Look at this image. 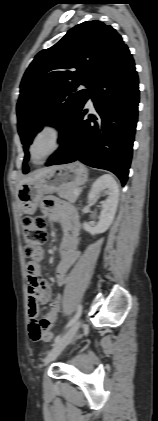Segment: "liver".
I'll return each mask as SVG.
<instances>
[{
	"label": "liver",
	"instance_id": "1",
	"mask_svg": "<svg viewBox=\"0 0 158 421\" xmlns=\"http://www.w3.org/2000/svg\"><path fill=\"white\" fill-rule=\"evenodd\" d=\"M51 168H52V167H51ZM51 168H42V169H39V170L34 171V172H33V173H31L28 177H26V178L22 179V180L19 182L17 189H19V187H20L22 184L27 183V182H30V181H33V180H35V179H37V178L41 177L42 175H44L45 173H47V172H48Z\"/></svg>",
	"mask_w": 158,
	"mask_h": 421
}]
</instances>
